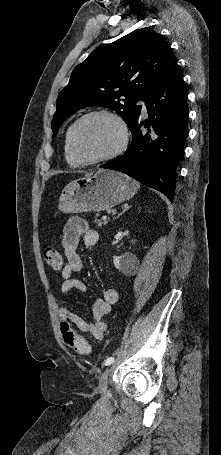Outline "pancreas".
Segmentation results:
<instances>
[{
	"label": "pancreas",
	"mask_w": 221,
	"mask_h": 455,
	"mask_svg": "<svg viewBox=\"0 0 221 455\" xmlns=\"http://www.w3.org/2000/svg\"><path fill=\"white\" fill-rule=\"evenodd\" d=\"M94 223L97 224L98 226L105 225L106 222L102 221L101 219L95 218Z\"/></svg>",
	"instance_id": "1"
}]
</instances>
